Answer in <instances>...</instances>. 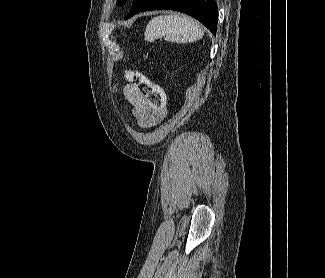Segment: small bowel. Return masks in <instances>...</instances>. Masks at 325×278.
Returning <instances> with one entry per match:
<instances>
[{"label":"small bowel","instance_id":"1","mask_svg":"<svg viewBox=\"0 0 325 278\" xmlns=\"http://www.w3.org/2000/svg\"><path fill=\"white\" fill-rule=\"evenodd\" d=\"M121 91L131 106V113L137 119L139 127H154L164 118L165 111H157L150 108L144 96L134 85L125 84Z\"/></svg>","mask_w":325,"mask_h":278}]
</instances>
